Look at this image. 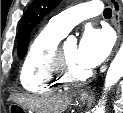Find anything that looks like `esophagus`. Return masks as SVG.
I'll list each match as a JSON object with an SVG mask.
<instances>
[{"label": "esophagus", "instance_id": "1", "mask_svg": "<svg viewBox=\"0 0 123 113\" xmlns=\"http://www.w3.org/2000/svg\"><path fill=\"white\" fill-rule=\"evenodd\" d=\"M113 24L117 31L118 42H119L120 38H121V12H120V10H116L115 8L113 9ZM82 95L93 96L94 93L90 92V91H84V92H82Z\"/></svg>", "mask_w": 123, "mask_h": 113}]
</instances>
